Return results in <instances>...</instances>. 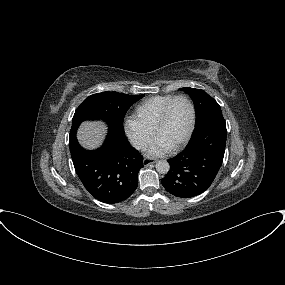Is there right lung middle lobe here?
<instances>
[{
	"label": "right lung middle lobe",
	"instance_id": "dd1d6c3e",
	"mask_svg": "<svg viewBox=\"0 0 285 285\" xmlns=\"http://www.w3.org/2000/svg\"><path fill=\"white\" fill-rule=\"evenodd\" d=\"M143 96L109 91L93 94L77 108L72 125H79L85 120L102 119L107 122L109 130L123 135V120L127 110Z\"/></svg>",
	"mask_w": 285,
	"mask_h": 285
}]
</instances>
